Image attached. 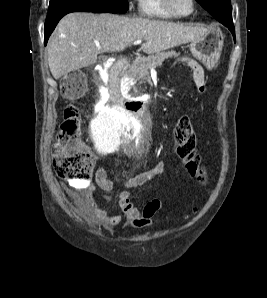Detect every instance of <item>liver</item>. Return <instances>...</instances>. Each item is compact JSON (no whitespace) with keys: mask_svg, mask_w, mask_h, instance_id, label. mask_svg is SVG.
<instances>
[{"mask_svg":"<svg viewBox=\"0 0 267 298\" xmlns=\"http://www.w3.org/2000/svg\"><path fill=\"white\" fill-rule=\"evenodd\" d=\"M206 33L203 27L169 21L70 13L60 20L48 41V64L52 76L59 79L94 64L99 54L123 51L136 40H145L141 49L154 54L198 40Z\"/></svg>","mask_w":267,"mask_h":298,"instance_id":"obj_1","label":"liver"}]
</instances>
